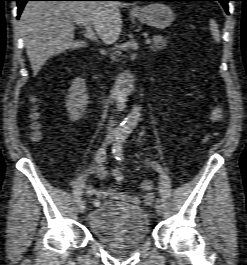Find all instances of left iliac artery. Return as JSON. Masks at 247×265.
I'll return each mask as SVG.
<instances>
[{"mask_svg":"<svg viewBox=\"0 0 247 265\" xmlns=\"http://www.w3.org/2000/svg\"><path fill=\"white\" fill-rule=\"evenodd\" d=\"M128 137V133H122L120 134V136H118L115 140V143H114V146L112 148V153L114 155V157L121 161L124 157H123V154H122V147H123V144L126 140V138ZM148 164L153 168L155 169L157 172L159 173H162L163 172V169L161 167V165L155 161H152V162H148Z\"/></svg>","mask_w":247,"mask_h":265,"instance_id":"obj_1","label":"left iliac artery"}]
</instances>
